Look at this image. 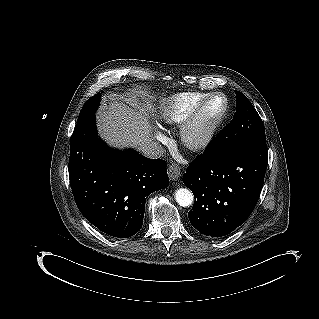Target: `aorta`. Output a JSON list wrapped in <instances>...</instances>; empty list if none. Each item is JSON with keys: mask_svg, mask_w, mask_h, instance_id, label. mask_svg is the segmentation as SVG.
Segmentation results:
<instances>
[{"mask_svg": "<svg viewBox=\"0 0 319 319\" xmlns=\"http://www.w3.org/2000/svg\"><path fill=\"white\" fill-rule=\"evenodd\" d=\"M175 200L182 207H188L193 202V194L189 189L179 188L175 192Z\"/></svg>", "mask_w": 319, "mask_h": 319, "instance_id": "1", "label": "aorta"}]
</instances>
